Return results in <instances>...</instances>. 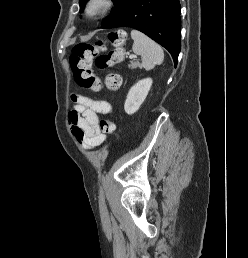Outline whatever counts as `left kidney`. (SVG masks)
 Instances as JSON below:
<instances>
[{
  "instance_id": "5707ae66",
  "label": "left kidney",
  "mask_w": 248,
  "mask_h": 258,
  "mask_svg": "<svg viewBox=\"0 0 248 258\" xmlns=\"http://www.w3.org/2000/svg\"><path fill=\"white\" fill-rule=\"evenodd\" d=\"M152 86V79L146 78L138 81L127 94L124 104L125 112L129 115L134 114L146 99Z\"/></svg>"
}]
</instances>
